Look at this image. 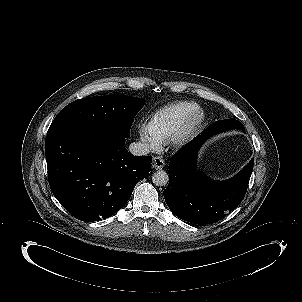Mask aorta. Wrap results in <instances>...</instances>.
<instances>
[{
    "instance_id": "762f6f07",
    "label": "aorta",
    "mask_w": 302,
    "mask_h": 302,
    "mask_svg": "<svg viewBox=\"0 0 302 302\" xmlns=\"http://www.w3.org/2000/svg\"><path fill=\"white\" fill-rule=\"evenodd\" d=\"M152 182L156 186H165L169 182V176L165 171L158 170L152 175Z\"/></svg>"
}]
</instances>
